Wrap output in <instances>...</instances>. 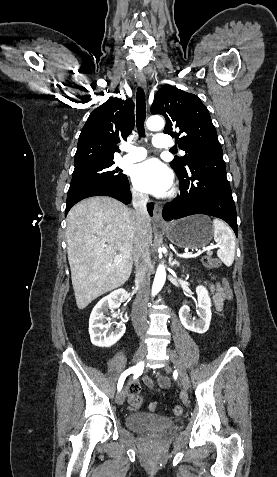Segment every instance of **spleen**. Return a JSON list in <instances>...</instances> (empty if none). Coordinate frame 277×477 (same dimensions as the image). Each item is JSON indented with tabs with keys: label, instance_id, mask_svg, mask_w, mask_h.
Returning a JSON list of instances; mask_svg holds the SVG:
<instances>
[{
	"label": "spleen",
	"instance_id": "3e777b00",
	"mask_svg": "<svg viewBox=\"0 0 277 477\" xmlns=\"http://www.w3.org/2000/svg\"><path fill=\"white\" fill-rule=\"evenodd\" d=\"M214 240L220 245L217 256L226 265L231 266L235 256V237L232 230L221 220H213Z\"/></svg>",
	"mask_w": 277,
	"mask_h": 477
}]
</instances>
